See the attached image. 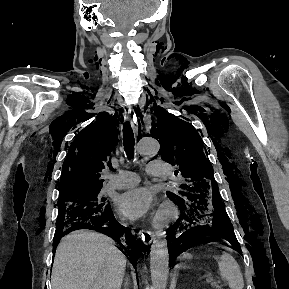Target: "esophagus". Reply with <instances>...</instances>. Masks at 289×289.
<instances>
[{
	"mask_svg": "<svg viewBox=\"0 0 289 289\" xmlns=\"http://www.w3.org/2000/svg\"><path fill=\"white\" fill-rule=\"evenodd\" d=\"M128 117L132 120V126L135 132V135L138 138L139 132H138V123L133 115V109L129 108L128 110ZM142 239L146 244H150L154 238V233L150 230H143L142 233Z\"/></svg>",
	"mask_w": 289,
	"mask_h": 289,
	"instance_id": "obj_1",
	"label": "esophagus"
}]
</instances>
